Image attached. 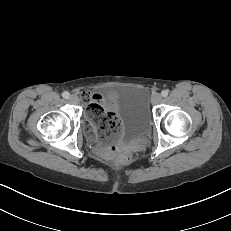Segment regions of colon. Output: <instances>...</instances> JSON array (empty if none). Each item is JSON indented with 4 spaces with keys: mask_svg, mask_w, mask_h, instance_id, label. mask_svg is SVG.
Here are the masks:
<instances>
[{
    "mask_svg": "<svg viewBox=\"0 0 231 231\" xmlns=\"http://www.w3.org/2000/svg\"><path fill=\"white\" fill-rule=\"evenodd\" d=\"M88 102L87 116L90 121L96 124L98 131L102 137H111L117 133L120 128V119L115 113H107L97 102ZM111 157L119 162L128 161L127 152L119 146H111L109 148Z\"/></svg>",
    "mask_w": 231,
    "mask_h": 231,
    "instance_id": "1",
    "label": "colon"
}]
</instances>
